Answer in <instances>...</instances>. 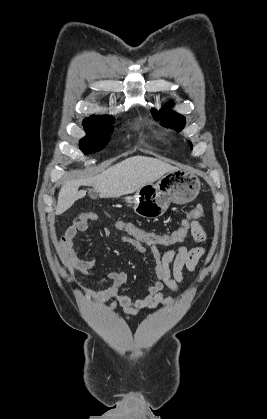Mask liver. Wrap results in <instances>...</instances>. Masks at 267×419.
Wrapping results in <instances>:
<instances>
[{"label":"liver","mask_w":267,"mask_h":419,"mask_svg":"<svg viewBox=\"0 0 267 419\" xmlns=\"http://www.w3.org/2000/svg\"><path fill=\"white\" fill-rule=\"evenodd\" d=\"M175 169L172 165L156 158L146 156L127 158L97 176L66 181L59 191L55 213L56 215L64 213L75 201L85 196L86 191H78L81 185L94 187L100 198H116L131 194Z\"/></svg>","instance_id":"liver-1"}]
</instances>
